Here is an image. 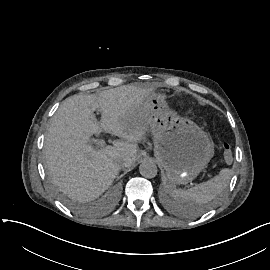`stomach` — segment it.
Here are the masks:
<instances>
[{
	"instance_id": "stomach-1",
	"label": "stomach",
	"mask_w": 270,
	"mask_h": 270,
	"mask_svg": "<svg viewBox=\"0 0 270 270\" xmlns=\"http://www.w3.org/2000/svg\"><path fill=\"white\" fill-rule=\"evenodd\" d=\"M164 97L157 95L147 117L154 140V157L163 165L167 179L175 185L192 182L214 155L207 134L188 118L164 111Z\"/></svg>"
}]
</instances>
